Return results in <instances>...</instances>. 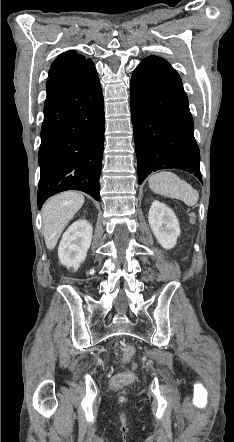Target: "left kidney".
Masks as SVG:
<instances>
[{
  "mask_svg": "<svg viewBox=\"0 0 234 442\" xmlns=\"http://www.w3.org/2000/svg\"><path fill=\"white\" fill-rule=\"evenodd\" d=\"M148 222L159 244L165 249L173 248L180 236L178 219L172 209L154 200L149 209Z\"/></svg>",
  "mask_w": 234,
  "mask_h": 442,
  "instance_id": "obj_1",
  "label": "left kidney"
}]
</instances>
